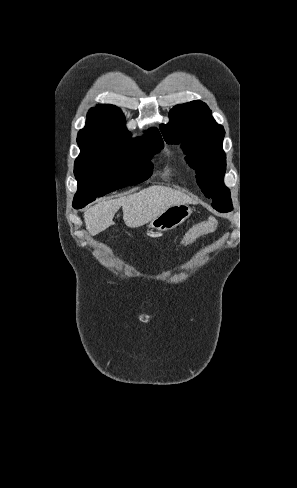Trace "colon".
<instances>
[{
	"mask_svg": "<svg viewBox=\"0 0 297 488\" xmlns=\"http://www.w3.org/2000/svg\"><path fill=\"white\" fill-rule=\"evenodd\" d=\"M214 226V219H209L208 221L198 223L192 226L182 238L179 247L185 249L192 245L200 236L209 232Z\"/></svg>",
	"mask_w": 297,
	"mask_h": 488,
	"instance_id": "obj_1",
	"label": "colon"
}]
</instances>
